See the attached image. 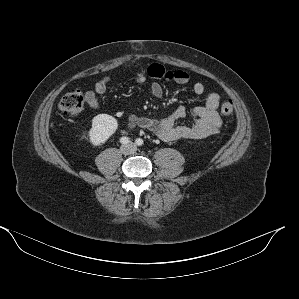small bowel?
<instances>
[{
	"label": "small bowel",
	"mask_w": 299,
	"mask_h": 299,
	"mask_svg": "<svg viewBox=\"0 0 299 299\" xmlns=\"http://www.w3.org/2000/svg\"><path fill=\"white\" fill-rule=\"evenodd\" d=\"M148 78L155 80H166L180 85L190 82V75L182 70L165 69L159 64H151L145 71H138L135 81L138 84H144ZM110 83V77L104 76L99 79L94 90L85 93L86 104L93 109L100 107L98 95L107 92ZM193 91L201 95L205 92L202 83H195ZM151 96L159 98L163 95V87L158 81H154L149 87ZM220 95L215 92H209L202 106L194 108L190 116L194 119L191 125H179L177 122L188 116V112L182 106L177 107L171 114L163 119L157 120L149 117H141L135 114L128 116V126L130 128H140L151 131L163 141H176L184 139H201L213 135L219 131L222 126V118L218 113Z\"/></svg>",
	"instance_id": "c3829d8e"
}]
</instances>
